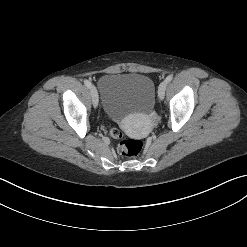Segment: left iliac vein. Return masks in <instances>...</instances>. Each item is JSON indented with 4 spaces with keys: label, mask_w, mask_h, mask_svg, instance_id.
Here are the masks:
<instances>
[{
    "label": "left iliac vein",
    "mask_w": 247,
    "mask_h": 247,
    "mask_svg": "<svg viewBox=\"0 0 247 247\" xmlns=\"http://www.w3.org/2000/svg\"><path fill=\"white\" fill-rule=\"evenodd\" d=\"M166 87H167L166 81L161 82L158 87V97L160 100L164 98Z\"/></svg>",
    "instance_id": "4c4485c4"
}]
</instances>
